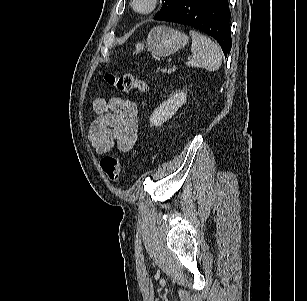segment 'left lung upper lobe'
<instances>
[{
	"instance_id": "5c2ea615",
	"label": "left lung upper lobe",
	"mask_w": 307,
	"mask_h": 301,
	"mask_svg": "<svg viewBox=\"0 0 307 301\" xmlns=\"http://www.w3.org/2000/svg\"><path fill=\"white\" fill-rule=\"evenodd\" d=\"M164 2L161 10L154 16V19L158 20L165 14H167L169 11H171L175 5L179 2V0H162Z\"/></svg>"
}]
</instances>
